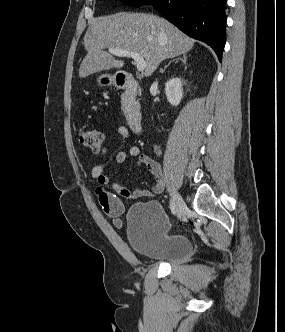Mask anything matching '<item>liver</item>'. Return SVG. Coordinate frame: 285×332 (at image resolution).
<instances>
[{
    "mask_svg": "<svg viewBox=\"0 0 285 332\" xmlns=\"http://www.w3.org/2000/svg\"><path fill=\"white\" fill-rule=\"evenodd\" d=\"M194 42L173 24L152 14L121 12L98 17L90 22L84 36L87 55L79 77L124 66V61L104 51L107 48L139 53L146 62L145 75L150 76L163 60L189 52Z\"/></svg>",
    "mask_w": 285,
    "mask_h": 332,
    "instance_id": "obj_1",
    "label": "liver"
}]
</instances>
